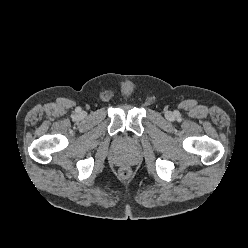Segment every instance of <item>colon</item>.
<instances>
[{"instance_id":"obj_1","label":"colon","mask_w":248,"mask_h":248,"mask_svg":"<svg viewBox=\"0 0 248 248\" xmlns=\"http://www.w3.org/2000/svg\"><path fill=\"white\" fill-rule=\"evenodd\" d=\"M130 174H131V171H130V169L128 167H122L119 170V176L121 178L126 179V178H128L130 176Z\"/></svg>"}]
</instances>
